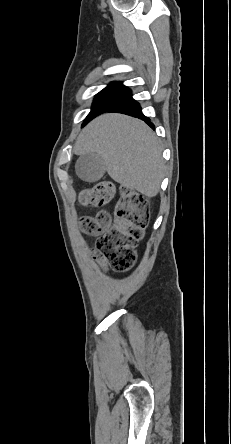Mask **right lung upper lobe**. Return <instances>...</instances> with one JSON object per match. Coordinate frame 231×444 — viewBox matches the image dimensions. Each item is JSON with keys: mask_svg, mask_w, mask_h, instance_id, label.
<instances>
[{"mask_svg": "<svg viewBox=\"0 0 231 444\" xmlns=\"http://www.w3.org/2000/svg\"><path fill=\"white\" fill-rule=\"evenodd\" d=\"M110 86H111V87H116V88H119V89L126 90L129 94L131 93L130 89H128L127 87H125V86L122 85L121 83L113 82ZM108 87H109V86H108Z\"/></svg>", "mask_w": 231, "mask_h": 444, "instance_id": "1", "label": "right lung upper lobe"}]
</instances>
